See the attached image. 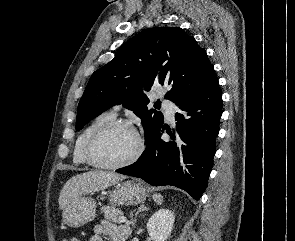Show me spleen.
<instances>
[{
    "mask_svg": "<svg viewBox=\"0 0 295 241\" xmlns=\"http://www.w3.org/2000/svg\"><path fill=\"white\" fill-rule=\"evenodd\" d=\"M153 199L157 204H161L163 200L161 194H157V193L153 194Z\"/></svg>",
    "mask_w": 295,
    "mask_h": 241,
    "instance_id": "obj_1",
    "label": "spleen"
}]
</instances>
